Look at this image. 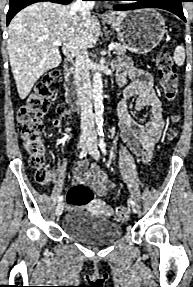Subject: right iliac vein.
Instances as JSON below:
<instances>
[{
  "label": "right iliac vein",
  "instance_id": "obj_1",
  "mask_svg": "<svg viewBox=\"0 0 193 287\" xmlns=\"http://www.w3.org/2000/svg\"><path fill=\"white\" fill-rule=\"evenodd\" d=\"M91 141L90 139L88 138H83L80 140V148L82 150H85L89 145H90ZM63 209H64V204L63 203H59L57 206H56V209H55V213L57 216H60L63 212Z\"/></svg>",
  "mask_w": 193,
  "mask_h": 287
}]
</instances>
